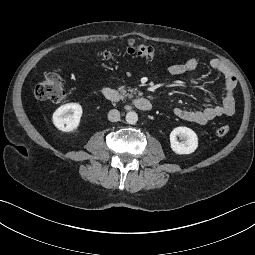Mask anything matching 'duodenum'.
Returning <instances> with one entry per match:
<instances>
[{"mask_svg": "<svg viewBox=\"0 0 255 255\" xmlns=\"http://www.w3.org/2000/svg\"><path fill=\"white\" fill-rule=\"evenodd\" d=\"M102 94L104 95L105 99L109 102H118L120 99L118 91L111 87L107 86L103 87ZM132 103L138 110L143 112L151 111L153 108L152 103L144 97L136 98L132 101Z\"/></svg>", "mask_w": 255, "mask_h": 255, "instance_id": "1", "label": "duodenum"}]
</instances>
